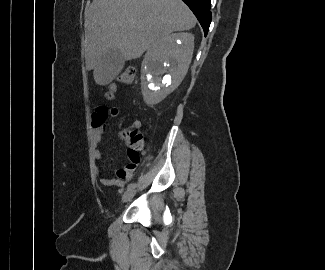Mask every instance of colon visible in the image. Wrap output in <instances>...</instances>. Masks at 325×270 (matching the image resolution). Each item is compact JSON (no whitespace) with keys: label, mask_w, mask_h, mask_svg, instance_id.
Segmentation results:
<instances>
[{"label":"colon","mask_w":325,"mask_h":270,"mask_svg":"<svg viewBox=\"0 0 325 270\" xmlns=\"http://www.w3.org/2000/svg\"><path fill=\"white\" fill-rule=\"evenodd\" d=\"M136 76V69L133 66L127 67L118 77L117 81L124 85H130L133 83ZM117 90V85L115 83H111L108 86V90L106 92V98L108 100H112L115 97V93ZM127 136L130 137L131 143L133 145L132 153L130 154V162L128 167L132 168L139 162V146L142 142V135L139 132H127Z\"/></svg>","instance_id":"1"}]
</instances>
